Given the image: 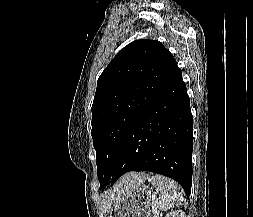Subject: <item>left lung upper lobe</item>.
Here are the masks:
<instances>
[{
	"instance_id": "5c2ea615",
	"label": "left lung upper lobe",
	"mask_w": 253,
	"mask_h": 217,
	"mask_svg": "<svg viewBox=\"0 0 253 217\" xmlns=\"http://www.w3.org/2000/svg\"><path fill=\"white\" fill-rule=\"evenodd\" d=\"M181 74L162 43L143 39L121 49L100 75L91 130L100 189L112 176L121 143L133 122Z\"/></svg>"
}]
</instances>
